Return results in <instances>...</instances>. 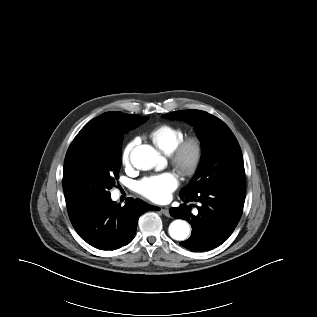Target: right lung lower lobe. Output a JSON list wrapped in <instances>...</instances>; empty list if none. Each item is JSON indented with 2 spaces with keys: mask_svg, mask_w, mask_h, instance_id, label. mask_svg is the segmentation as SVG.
<instances>
[{
  "mask_svg": "<svg viewBox=\"0 0 317 317\" xmlns=\"http://www.w3.org/2000/svg\"><path fill=\"white\" fill-rule=\"evenodd\" d=\"M66 204L76 232L88 244L101 250H114L129 244L135 236L139 217L146 211L158 209L133 198H128L123 207L110 197L84 205L66 198Z\"/></svg>",
  "mask_w": 317,
  "mask_h": 317,
  "instance_id": "98d812e1",
  "label": "right lung lower lobe"
}]
</instances>
